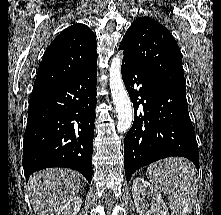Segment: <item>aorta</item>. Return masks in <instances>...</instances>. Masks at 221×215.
Returning <instances> with one entry per match:
<instances>
[{
	"label": "aorta",
	"instance_id": "1",
	"mask_svg": "<svg viewBox=\"0 0 221 215\" xmlns=\"http://www.w3.org/2000/svg\"><path fill=\"white\" fill-rule=\"evenodd\" d=\"M121 55H116L109 68V85L113 103L117 112V131L125 132L130 129L133 120V110L129 95L121 76Z\"/></svg>",
	"mask_w": 221,
	"mask_h": 215
}]
</instances>
